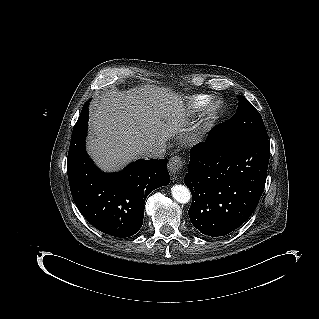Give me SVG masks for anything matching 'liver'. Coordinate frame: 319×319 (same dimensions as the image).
<instances>
[{
  "label": "liver",
  "instance_id": "1",
  "mask_svg": "<svg viewBox=\"0 0 319 319\" xmlns=\"http://www.w3.org/2000/svg\"><path fill=\"white\" fill-rule=\"evenodd\" d=\"M186 121L182 99L166 88L107 90L90 106L87 150L105 171L137 158L142 148L166 146Z\"/></svg>",
  "mask_w": 319,
  "mask_h": 319
}]
</instances>
